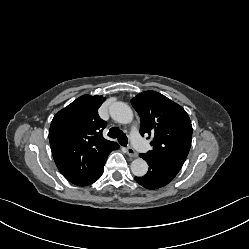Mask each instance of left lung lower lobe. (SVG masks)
<instances>
[{
	"mask_svg": "<svg viewBox=\"0 0 249 249\" xmlns=\"http://www.w3.org/2000/svg\"><path fill=\"white\" fill-rule=\"evenodd\" d=\"M140 157L142 156L140 155ZM146 161L149 165L147 174L143 177H135V180L143 187L147 189H158L167 185L176 176L175 173L160 169L150 161Z\"/></svg>",
	"mask_w": 249,
	"mask_h": 249,
	"instance_id": "left-lung-lower-lobe-1",
	"label": "left lung lower lobe"
}]
</instances>
